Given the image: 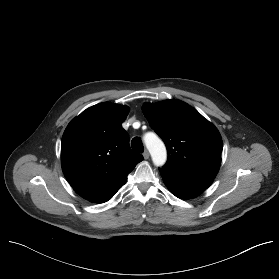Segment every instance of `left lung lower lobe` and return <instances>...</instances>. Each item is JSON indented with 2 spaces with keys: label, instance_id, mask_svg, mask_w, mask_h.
I'll return each mask as SVG.
<instances>
[{
  "label": "left lung lower lobe",
  "instance_id": "obj_1",
  "mask_svg": "<svg viewBox=\"0 0 279 279\" xmlns=\"http://www.w3.org/2000/svg\"><path fill=\"white\" fill-rule=\"evenodd\" d=\"M168 189L182 199L192 198L207 189L213 179L196 178L174 172L165 167L159 169Z\"/></svg>",
  "mask_w": 279,
  "mask_h": 279
}]
</instances>
